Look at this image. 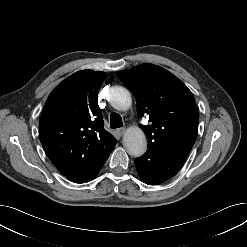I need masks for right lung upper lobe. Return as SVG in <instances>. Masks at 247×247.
<instances>
[{"label": "right lung upper lobe", "instance_id": "obj_1", "mask_svg": "<svg viewBox=\"0 0 247 247\" xmlns=\"http://www.w3.org/2000/svg\"><path fill=\"white\" fill-rule=\"evenodd\" d=\"M104 72L83 70L63 80L50 94L39 124L46 155L67 176L110 155L116 139L103 128L97 102Z\"/></svg>", "mask_w": 247, "mask_h": 247}]
</instances>
